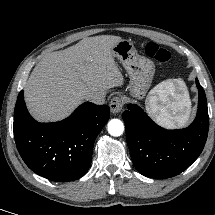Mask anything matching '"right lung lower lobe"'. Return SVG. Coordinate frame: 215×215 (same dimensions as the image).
I'll list each match as a JSON object with an SVG mask.
<instances>
[{
    "label": "right lung lower lobe",
    "mask_w": 215,
    "mask_h": 215,
    "mask_svg": "<svg viewBox=\"0 0 215 215\" xmlns=\"http://www.w3.org/2000/svg\"><path fill=\"white\" fill-rule=\"evenodd\" d=\"M110 117L108 106L80 105L68 118L39 123L27 111L23 91L14 110V138L26 165L57 182L79 179L89 169L94 141Z\"/></svg>",
    "instance_id": "right-lung-lower-lobe-1"
}]
</instances>
